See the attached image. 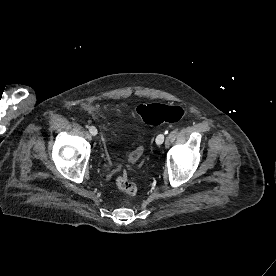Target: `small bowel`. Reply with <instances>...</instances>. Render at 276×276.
Masks as SVG:
<instances>
[{
    "mask_svg": "<svg viewBox=\"0 0 276 276\" xmlns=\"http://www.w3.org/2000/svg\"><path fill=\"white\" fill-rule=\"evenodd\" d=\"M90 112L93 114V115H98L99 112L95 109V108H90ZM113 134H115L114 131H112Z\"/></svg>",
    "mask_w": 276,
    "mask_h": 276,
    "instance_id": "1",
    "label": "small bowel"
}]
</instances>
